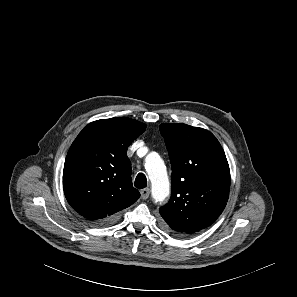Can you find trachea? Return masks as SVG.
I'll return each mask as SVG.
<instances>
[{
  "instance_id": "trachea-1",
  "label": "trachea",
  "mask_w": 297,
  "mask_h": 297,
  "mask_svg": "<svg viewBox=\"0 0 297 297\" xmlns=\"http://www.w3.org/2000/svg\"><path fill=\"white\" fill-rule=\"evenodd\" d=\"M136 188L142 189L147 186V179L143 173H139L135 179L134 183Z\"/></svg>"
}]
</instances>
